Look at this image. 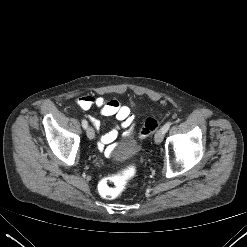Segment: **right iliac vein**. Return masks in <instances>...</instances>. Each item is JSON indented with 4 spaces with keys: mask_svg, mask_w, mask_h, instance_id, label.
I'll list each match as a JSON object with an SVG mask.
<instances>
[{
    "mask_svg": "<svg viewBox=\"0 0 247 247\" xmlns=\"http://www.w3.org/2000/svg\"><path fill=\"white\" fill-rule=\"evenodd\" d=\"M86 134H87V137L92 140L94 139L95 137V132H94V129L92 127H88L87 130H86Z\"/></svg>",
    "mask_w": 247,
    "mask_h": 247,
    "instance_id": "63e3f726",
    "label": "right iliac vein"
}]
</instances>
